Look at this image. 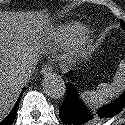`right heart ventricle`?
<instances>
[{"instance_id":"right-heart-ventricle-1","label":"right heart ventricle","mask_w":125,"mask_h":125,"mask_svg":"<svg viewBox=\"0 0 125 125\" xmlns=\"http://www.w3.org/2000/svg\"><path fill=\"white\" fill-rule=\"evenodd\" d=\"M85 26L79 23L68 24L59 29L51 38L53 45L67 47L79 40L85 32Z\"/></svg>"}]
</instances>
